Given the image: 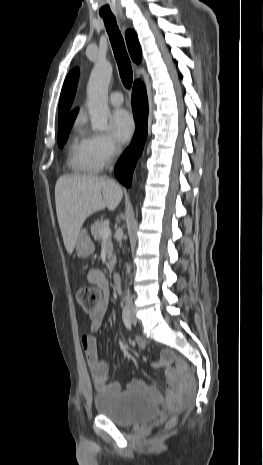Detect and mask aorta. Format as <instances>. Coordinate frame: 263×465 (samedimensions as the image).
Returning <instances> with one entry per match:
<instances>
[{
  "label": "aorta",
  "mask_w": 263,
  "mask_h": 465,
  "mask_svg": "<svg viewBox=\"0 0 263 465\" xmlns=\"http://www.w3.org/2000/svg\"><path fill=\"white\" fill-rule=\"evenodd\" d=\"M113 67L108 61L95 64L87 85V106L90 113L91 126L96 131L108 130V87Z\"/></svg>",
  "instance_id": "aorta-1"
}]
</instances>
